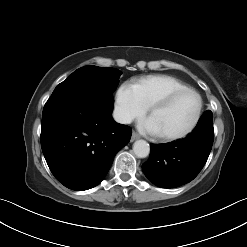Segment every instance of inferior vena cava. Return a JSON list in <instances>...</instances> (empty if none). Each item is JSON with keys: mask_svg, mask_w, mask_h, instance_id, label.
Wrapping results in <instances>:
<instances>
[{"mask_svg": "<svg viewBox=\"0 0 247 247\" xmlns=\"http://www.w3.org/2000/svg\"><path fill=\"white\" fill-rule=\"evenodd\" d=\"M113 118L116 122L121 124H130L132 117L121 109H115L113 112Z\"/></svg>", "mask_w": 247, "mask_h": 247, "instance_id": "inferior-vena-cava-1", "label": "inferior vena cava"}]
</instances>
